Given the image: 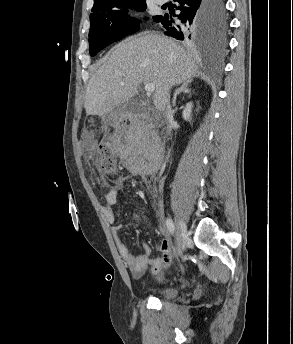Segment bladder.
Listing matches in <instances>:
<instances>
[{"mask_svg": "<svg viewBox=\"0 0 293 344\" xmlns=\"http://www.w3.org/2000/svg\"><path fill=\"white\" fill-rule=\"evenodd\" d=\"M158 294L163 299H174L178 295V291L172 288H163L158 291Z\"/></svg>", "mask_w": 293, "mask_h": 344, "instance_id": "obj_1", "label": "bladder"}]
</instances>
